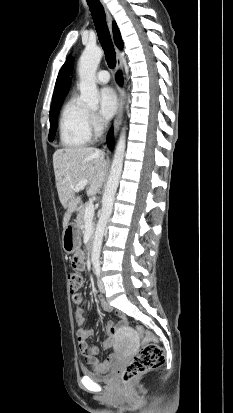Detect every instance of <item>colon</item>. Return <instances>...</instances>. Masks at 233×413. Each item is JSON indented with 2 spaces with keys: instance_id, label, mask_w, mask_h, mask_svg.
I'll use <instances>...</instances> for the list:
<instances>
[{
  "instance_id": "obj_1",
  "label": "colon",
  "mask_w": 233,
  "mask_h": 413,
  "mask_svg": "<svg viewBox=\"0 0 233 413\" xmlns=\"http://www.w3.org/2000/svg\"><path fill=\"white\" fill-rule=\"evenodd\" d=\"M82 283L80 273H76L75 270L68 273V284L72 294L79 291ZM137 331L143 337L144 345L122 371L121 377L124 382H129L164 363V350L157 344L155 336L141 326L137 327Z\"/></svg>"
}]
</instances>
